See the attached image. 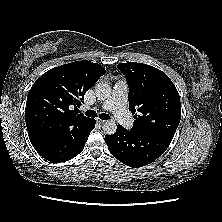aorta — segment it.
I'll return each instance as SVG.
<instances>
[{
  "label": "aorta",
  "mask_w": 222,
  "mask_h": 222,
  "mask_svg": "<svg viewBox=\"0 0 222 222\" xmlns=\"http://www.w3.org/2000/svg\"><path fill=\"white\" fill-rule=\"evenodd\" d=\"M95 94L99 100H106L111 94V87L106 83H98L95 86ZM102 128L105 134L112 135L116 132L117 125L113 119H110L104 123Z\"/></svg>",
  "instance_id": "762f6f07"
}]
</instances>
